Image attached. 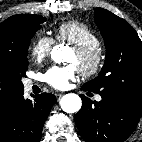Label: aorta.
Instances as JSON below:
<instances>
[{
    "label": "aorta",
    "mask_w": 142,
    "mask_h": 142,
    "mask_svg": "<svg viewBox=\"0 0 142 142\" xmlns=\"http://www.w3.org/2000/svg\"><path fill=\"white\" fill-rule=\"evenodd\" d=\"M69 50L67 46L57 45L51 51V58L56 63L64 61L65 53ZM61 108L66 113H76L82 106L81 98L74 93L66 94L60 100Z\"/></svg>",
    "instance_id": "1"
}]
</instances>
